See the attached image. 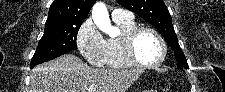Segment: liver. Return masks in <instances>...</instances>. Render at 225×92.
<instances>
[{"instance_id":"1","label":"liver","mask_w":225,"mask_h":92,"mask_svg":"<svg viewBox=\"0 0 225 92\" xmlns=\"http://www.w3.org/2000/svg\"><path fill=\"white\" fill-rule=\"evenodd\" d=\"M139 69H95L73 54L38 65L30 75L29 92H126L142 74Z\"/></svg>"}]
</instances>
